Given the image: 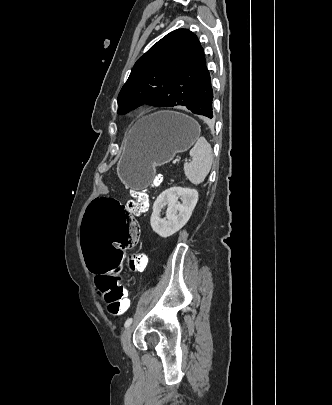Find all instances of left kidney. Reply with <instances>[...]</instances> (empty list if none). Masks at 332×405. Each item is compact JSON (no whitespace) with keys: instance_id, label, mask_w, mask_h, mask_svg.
<instances>
[{"instance_id":"left-kidney-1","label":"left kidney","mask_w":332,"mask_h":405,"mask_svg":"<svg viewBox=\"0 0 332 405\" xmlns=\"http://www.w3.org/2000/svg\"><path fill=\"white\" fill-rule=\"evenodd\" d=\"M197 201L198 191L195 189L174 186L163 191L153 205L150 219L153 231L163 238L179 231L190 219ZM166 205V218H161L160 212Z\"/></svg>"}]
</instances>
